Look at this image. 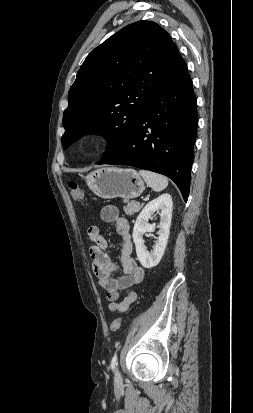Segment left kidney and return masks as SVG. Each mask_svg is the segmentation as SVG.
Returning a JSON list of instances; mask_svg holds the SVG:
<instances>
[{
    "mask_svg": "<svg viewBox=\"0 0 253 413\" xmlns=\"http://www.w3.org/2000/svg\"><path fill=\"white\" fill-rule=\"evenodd\" d=\"M172 198L169 194H162L158 198L149 202L140 212L133 228V241L136 247L138 260L144 268L150 269L159 264L169 237L172 218ZM160 210L159 236L153 250L148 252L143 240L146 232H151L156 228V224H149L151 216Z\"/></svg>",
    "mask_w": 253,
    "mask_h": 413,
    "instance_id": "1",
    "label": "left kidney"
}]
</instances>
